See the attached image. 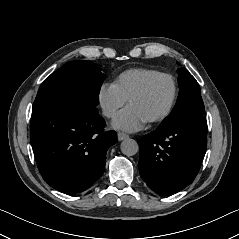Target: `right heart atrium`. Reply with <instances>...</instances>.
<instances>
[{
	"label": "right heart atrium",
	"instance_id": "right-heart-atrium-1",
	"mask_svg": "<svg viewBox=\"0 0 239 239\" xmlns=\"http://www.w3.org/2000/svg\"><path fill=\"white\" fill-rule=\"evenodd\" d=\"M98 102L103 115L113 118L125 105L126 100L118 92L114 84L104 83L98 93Z\"/></svg>",
	"mask_w": 239,
	"mask_h": 239
}]
</instances>
